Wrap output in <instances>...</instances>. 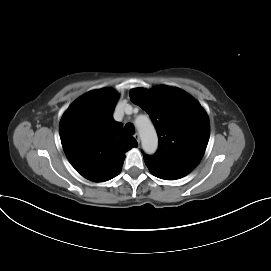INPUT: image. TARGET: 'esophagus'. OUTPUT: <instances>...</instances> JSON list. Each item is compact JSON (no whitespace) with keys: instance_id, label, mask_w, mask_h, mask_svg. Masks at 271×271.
Returning a JSON list of instances; mask_svg holds the SVG:
<instances>
[{"instance_id":"1","label":"esophagus","mask_w":271,"mask_h":271,"mask_svg":"<svg viewBox=\"0 0 271 271\" xmlns=\"http://www.w3.org/2000/svg\"><path fill=\"white\" fill-rule=\"evenodd\" d=\"M134 138L137 141V143H140V135H139V133H135Z\"/></svg>"}]
</instances>
